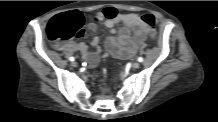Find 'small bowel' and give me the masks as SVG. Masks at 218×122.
<instances>
[{"label": "small bowel", "instance_id": "c3829d8e", "mask_svg": "<svg viewBox=\"0 0 218 122\" xmlns=\"http://www.w3.org/2000/svg\"><path fill=\"white\" fill-rule=\"evenodd\" d=\"M88 24L91 31L104 24L111 33L115 34V25L121 24L117 36L108 37L106 40L107 51L117 58H129L135 54L139 46L146 40L152 32V28L147 26L142 18L135 13H119L116 8L108 7L98 13L88 15ZM57 48L70 47L79 51L83 59L90 65L95 66L100 58L99 38L94 37L91 41L93 50L85 42H71L65 44L58 43Z\"/></svg>", "mask_w": 218, "mask_h": 122}]
</instances>
